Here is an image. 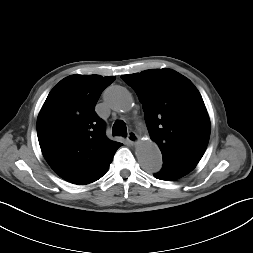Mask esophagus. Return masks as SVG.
I'll return each instance as SVG.
<instances>
[{"mask_svg":"<svg viewBox=\"0 0 253 253\" xmlns=\"http://www.w3.org/2000/svg\"><path fill=\"white\" fill-rule=\"evenodd\" d=\"M127 140L130 144H136L139 141L138 135L134 131H129Z\"/></svg>","mask_w":253,"mask_h":253,"instance_id":"1","label":"esophagus"}]
</instances>
